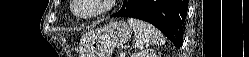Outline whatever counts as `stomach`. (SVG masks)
<instances>
[{"label":"stomach","instance_id":"0dacf381","mask_svg":"<svg viewBox=\"0 0 249 57\" xmlns=\"http://www.w3.org/2000/svg\"><path fill=\"white\" fill-rule=\"evenodd\" d=\"M131 34V28L123 20L92 30L82 40V57H111L113 49L126 43Z\"/></svg>","mask_w":249,"mask_h":57}]
</instances>
